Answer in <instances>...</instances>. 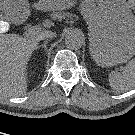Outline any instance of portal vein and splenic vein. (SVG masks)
Wrapping results in <instances>:
<instances>
[{
  "label": "portal vein and splenic vein",
  "mask_w": 135,
  "mask_h": 135,
  "mask_svg": "<svg viewBox=\"0 0 135 135\" xmlns=\"http://www.w3.org/2000/svg\"><path fill=\"white\" fill-rule=\"evenodd\" d=\"M41 28L38 26H32V27H28L26 30V35H31V34H35L40 32Z\"/></svg>",
  "instance_id": "portal-vein-and-splenic-vein-1"
}]
</instances>
